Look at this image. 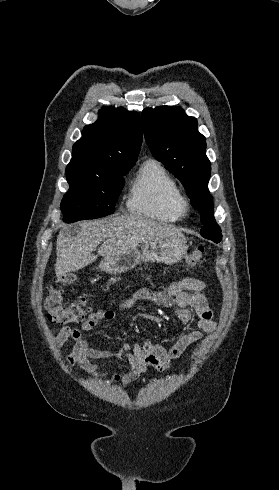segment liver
<instances>
[{
  "mask_svg": "<svg viewBox=\"0 0 279 490\" xmlns=\"http://www.w3.org/2000/svg\"><path fill=\"white\" fill-rule=\"evenodd\" d=\"M80 232L75 238H65L60 232L56 244L55 274L57 278L68 276L95 262L97 256L92 254L97 246L98 256L112 258L128 250H137L138 246L152 240H168L183 236L180 230L155 224L151 220L137 216H118L104 218L95 222H79Z\"/></svg>",
  "mask_w": 279,
  "mask_h": 490,
  "instance_id": "liver-1",
  "label": "liver"
}]
</instances>
